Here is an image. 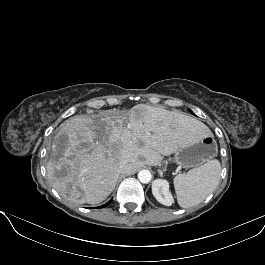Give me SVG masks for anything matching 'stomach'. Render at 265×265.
I'll list each match as a JSON object with an SVG mask.
<instances>
[{
  "instance_id": "1",
  "label": "stomach",
  "mask_w": 265,
  "mask_h": 265,
  "mask_svg": "<svg viewBox=\"0 0 265 265\" xmlns=\"http://www.w3.org/2000/svg\"><path fill=\"white\" fill-rule=\"evenodd\" d=\"M216 143L210 135L192 142L186 140L174 153L175 162L184 168L201 166L215 156Z\"/></svg>"
}]
</instances>
